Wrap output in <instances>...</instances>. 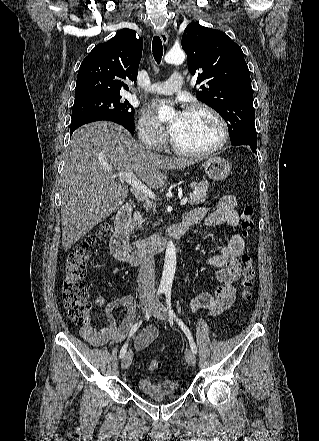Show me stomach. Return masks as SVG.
<instances>
[{
	"mask_svg": "<svg viewBox=\"0 0 319 441\" xmlns=\"http://www.w3.org/2000/svg\"><path fill=\"white\" fill-rule=\"evenodd\" d=\"M205 173L210 179L223 180L231 171L229 163L220 157H212L204 163Z\"/></svg>",
	"mask_w": 319,
	"mask_h": 441,
	"instance_id": "stomach-1",
	"label": "stomach"
}]
</instances>
